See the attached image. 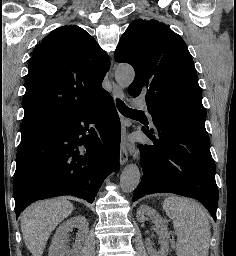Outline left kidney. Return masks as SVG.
<instances>
[{"label": "left kidney", "mask_w": 236, "mask_h": 256, "mask_svg": "<svg viewBox=\"0 0 236 256\" xmlns=\"http://www.w3.org/2000/svg\"><path fill=\"white\" fill-rule=\"evenodd\" d=\"M136 218L138 222H145L147 218H151L153 220L156 228L157 234L159 236L161 248L156 252L153 248V244L151 240H146V250L149 256H168L169 252V234L166 230V226L159 214H157L156 210H152L149 206H140L137 210Z\"/></svg>", "instance_id": "obj_1"}]
</instances>
